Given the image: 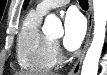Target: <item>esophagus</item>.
Segmentation results:
<instances>
[{"label": "esophagus", "instance_id": "1", "mask_svg": "<svg viewBox=\"0 0 107 75\" xmlns=\"http://www.w3.org/2000/svg\"><path fill=\"white\" fill-rule=\"evenodd\" d=\"M87 17H88V30H87L84 48H83L78 60L74 64L73 68L68 73V75H79L80 70H81V65H82V62H83V59L85 56V52L89 46L90 36H91V31H92V25H93V8H92L91 0H89V12L87 14Z\"/></svg>", "mask_w": 107, "mask_h": 75}]
</instances>
